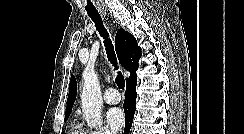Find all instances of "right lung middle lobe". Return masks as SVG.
I'll use <instances>...</instances> for the list:
<instances>
[{
    "label": "right lung middle lobe",
    "mask_w": 244,
    "mask_h": 134,
    "mask_svg": "<svg viewBox=\"0 0 244 134\" xmlns=\"http://www.w3.org/2000/svg\"><path fill=\"white\" fill-rule=\"evenodd\" d=\"M69 115H70V114H68V115L66 114V115H65V120H67V119H68Z\"/></svg>",
    "instance_id": "right-lung-middle-lobe-1"
}]
</instances>
